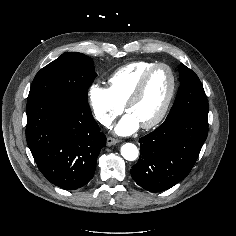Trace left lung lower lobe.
Wrapping results in <instances>:
<instances>
[{"label":"left lung lower lobe","instance_id":"left-lung-lower-lobe-1","mask_svg":"<svg viewBox=\"0 0 236 236\" xmlns=\"http://www.w3.org/2000/svg\"><path fill=\"white\" fill-rule=\"evenodd\" d=\"M208 135V116L177 115L140 141L133 180L150 192H161L183 180L194 166Z\"/></svg>","mask_w":236,"mask_h":236}]
</instances>
